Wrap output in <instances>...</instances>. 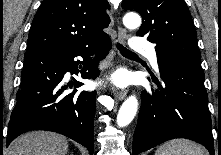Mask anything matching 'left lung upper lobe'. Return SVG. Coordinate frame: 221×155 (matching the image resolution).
I'll use <instances>...</instances> for the list:
<instances>
[{"instance_id":"left-lung-upper-lobe-1","label":"left lung upper lobe","mask_w":221,"mask_h":155,"mask_svg":"<svg viewBox=\"0 0 221 155\" xmlns=\"http://www.w3.org/2000/svg\"><path fill=\"white\" fill-rule=\"evenodd\" d=\"M122 8L142 16L137 35L156 44V53L176 52L201 58L196 30L184 0H123Z\"/></svg>"}]
</instances>
